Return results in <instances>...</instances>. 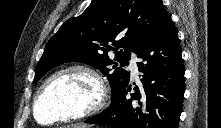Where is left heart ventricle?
<instances>
[{
	"label": "left heart ventricle",
	"instance_id": "obj_1",
	"mask_svg": "<svg viewBox=\"0 0 221 128\" xmlns=\"http://www.w3.org/2000/svg\"><path fill=\"white\" fill-rule=\"evenodd\" d=\"M93 85L78 73L62 74L45 89L37 106V117L42 123L58 116L78 112L91 100Z\"/></svg>",
	"mask_w": 221,
	"mask_h": 128
}]
</instances>
